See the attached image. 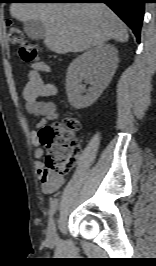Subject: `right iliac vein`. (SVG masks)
<instances>
[{"label": "right iliac vein", "instance_id": "63e3f726", "mask_svg": "<svg viewBox=\"0 0 156 266\" xmlns=\"http://www.w3.org/2000/svg\"><path fill=\"white\" fill-rule=\"evenodd\" d=\"M47 240L50 243H54L57 240V232H56V225H55L54 218L50 220L49 225H48Z\"/></svg>", "mask_w": 156, "mask_h": 266}]
</instances>
